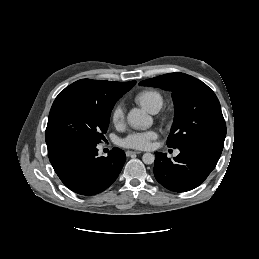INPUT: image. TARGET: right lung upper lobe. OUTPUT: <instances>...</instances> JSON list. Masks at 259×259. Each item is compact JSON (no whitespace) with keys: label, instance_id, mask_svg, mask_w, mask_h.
<instances>
[{"label":"right lung upper lobe","instance_id":"cb5924a9","mask_svg":"<svg viewBox=\"0 0 259 259\" xmlns=\"http://www.w3.org/2000/svg\"><path fill=\"white\" fill-rule=\"evenodd\" d=\"M136 81L111 82L91 79H81L66 87L58 97L63 95H74L96 102L98 104H113L127 91Z\"/></svg>","mask_w":259,"mask_h":259}]
</instances>
